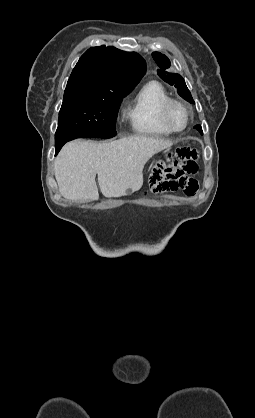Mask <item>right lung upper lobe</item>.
Masks as SVG:
<instances>
[{
  "mask_svg": "<svg viewBox=\"0 0 255 418\" xmlns=\"http://www.w3.org/2000/svg\"><path fill=\"white\" fill-rule=\"evenodd\" d=\"M145 72V60L138 53L92 47L79 59L66 88L132 90Z\"/></svg>",
  "mask_w": 255,
  "mask_h": 418,
  "instance_id": "1",
  "label": "right lung upper lobe"
}]
</instances>
